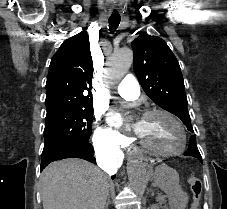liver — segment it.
<instances>
[{
  "instance_id": "liver-1",
  "label": "liver",
  "mask_w": 227,
  "mask_h": 209,
  "mask_svg": "<svg viewBox=\"0 0 227 209\" xmlns=\"http://www.w3.org/2000/svg\"><path fill=\"white\" fill-rule=\"evenodd\" d=\"M109 191L105 173L82 159H64L41 175L43 209H104Z\"/></svg>"
}]
</instances>
